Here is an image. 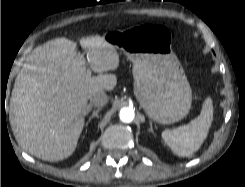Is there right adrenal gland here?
Wrapping results in <instances>:
<instances>
[{"label":"right adrenal gland","instance_id":"obj_1","mask_svg":"<svg viewBox=\"0 0 245 187\" xmlns=\"http://www.w3.org/2000/svg\"><path fill=\"white\" fill-rule=\"evenodd\" d=\"M101 109H102V108L99 107V108H97L96 110H93L91 116L89 117L88 121L86 122V126H88V124L90 123V121H91L93 118H97V119L99 118L98 113L100 112Z\"/></svg>","mask_w":245,"mask_h":187}]
</instances>
